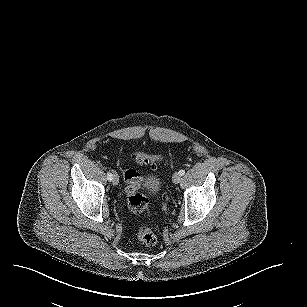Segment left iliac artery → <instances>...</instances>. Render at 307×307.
I'll list each match as a JSON object with an SVG mask.
<instances>
[{"mask_svg": "<svg viewBox=\"0 0 307 307\" xmlns=\"http://www.w3.org/2000/svg\"><path fill=\"white\" fill-rule=\"evenodd\" d=\"M179 174H180L181 176H183V175L185 174V170L181 169V170L179 171Z\"/></svg>", "mask_w": 307, "mask_h": 307, "instance_id": "left-iliac-artery-1", "label": "left iliac artery"}]
</instances>
